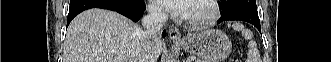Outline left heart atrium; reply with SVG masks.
Instances as JSON below:
<instances>
[{
	"instance_id": "left-heart-atrium-1",
	"label": "left heart atrium",
	"mask_w": 331,
	"mask_h": 62,
	"mask_svg": "<svg viewBox=\"0 0 331 62\" xmlns=\"http://www.w3.org/2000/svg\"><path fill=\"white\" fill-rule=\"evenodd\" d=\"M169 13L187 17L190 13L192 0H158Z\"/></svg>"
}]
</instances>
